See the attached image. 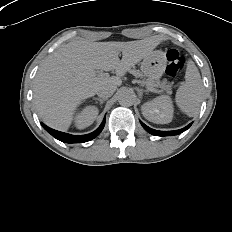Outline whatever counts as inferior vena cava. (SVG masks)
Returning a JSON list of instances; mask_svg holds the SVG:
<instances>
[{
    "label": "inferior vena cava",
    "instance_id": "1",
    "mask_svg": "<svg viewBox=\"0 0 232 232\" xmlns=\"http://www.w3.org/2000/svg\"><path fill=\"white\" fill-rule=\"evenodd\" d=\"M116 89V84L112 81H103L97 90V95L100 98L106 99L110 97Z\"/></svg>",
    "mask_w": 232,
    "mask_h": 232
}]
</instances>
